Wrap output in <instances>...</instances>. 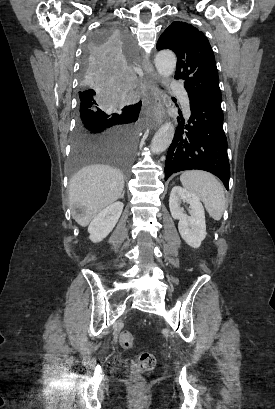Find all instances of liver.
I'll return each instance as SVG.
<instances>
[{"mask_svg": "<svg viewBox=\"0 0 275 409\" xmlns=\"http://www.w3.org/2000/svg\"><path fill=\"white\" fill-rule=\"evenodd\" d=\"M124 188V176L119 168L108 164H89L73 174L69 184L70 207H85L86 215L78 219L81 227H87L90 221L112 205L121 196Z\"/></svg>", "mask_w": 275, "mask_h": 409, "instance_id": "obj_1", "label": "liver"}]
</instances>
